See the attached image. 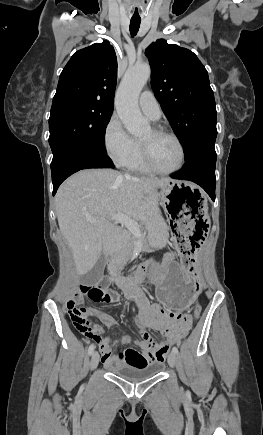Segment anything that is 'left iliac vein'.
Listing matches in <instances>:
<instances>
[{
  "label": "left iliac vein",
  "mask_w": 263,
  "mask_h": 435,
  "mask_svg": "<svg viewBox=\"0 0 263 435\" xmlns=\"http://www.w3.org/2000/svg\"><path fill=\"white\" fill-rule=\"evenodd\" d=\"M176 362H177V355H176V353H174V352L172 351V352L169 354V356H168V364H169L171 367H175Z\"/></svg>",
  "instance_id": "4c4485c4"
}]
</instances>
